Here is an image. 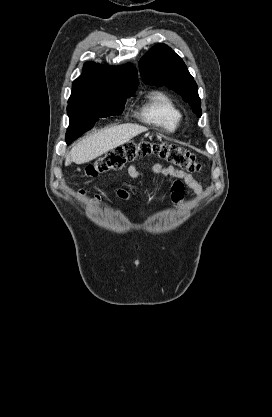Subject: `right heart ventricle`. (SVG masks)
Returning <instances> with one entry per match:
<instances>
[{"mask_svg":"<svg viewBox=\"0 0 272 417\" xmlns=\"http://www.w3.org/2000/svg\"><path fill=\"white\" fill-rule=\"evenodd\" d=\"M141 119L168 132L180 125L182 113L173 99L164 92H152L140 111Z\"/></svg>","mask_w":272,"mask_h":417,"instance_id":"obj_1","label":"right heart ventricle"}]
</instances>
